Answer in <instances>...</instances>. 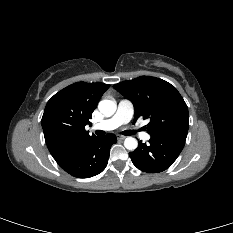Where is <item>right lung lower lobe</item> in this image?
<instances>
[{
  "mask_svg": "<svg viewBox=\"0 0 233 233\" xmlns=\"http://www.w3.org/2000/svg\"><path fill=\"white\" fill-rule=\"evenodd\" d=\"M116 141L114 134L95 137L67 161L60 164V167L78 178H89L98 175L107 166L110 148Z\"/></svg>",
  "mask_w": 233,
  "mask_h": 233,
  "instance_id": "1",
  "label": "right lung lower lobe"
}]
</instances>
